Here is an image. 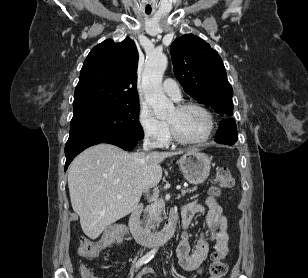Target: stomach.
I'll list each match as a JSON object with an SVG mask.
<instances>
[{
    "instance_id": "stomach-1",
    "label": "stomach",
    "mask_w": 308,
    "mask_h": 278,
    "mask_svg": "<svg viewBox=\"0 0 308 278\" xmlns=\"http://www.w3.org/2000/svg\"><path fill=\"white\" fill-rule=\"evenodd\" d=\"M178 165L184 178L192 184H201L209 176L210 158L197 150H190L180 157Z\"/></svg>"
}]
</instances>
